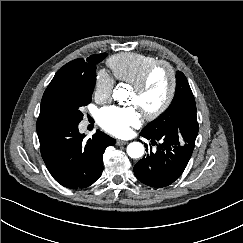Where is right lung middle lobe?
Listing matches in <instances>:
<instances>
[{
    "label": "right lung middle lobe",
    "instance_id": "right-lung-middle-lobe-1",
    "mask_svg": "<svg viewBox=\"0 0 243 243\" xmlns=\"http://www.w3.org/2000/svg\"><path fill=\"white\" fill-rule=\"evenodd\" d=\"M106 53L99 54L94 65L102 61ZM96 67L86 76L54 77L44 92L37 121L79 123L83 118L81 107L91 102L96 82Z\"/></svg>",
    "mask_w": 243,
    "mask_h": 243
}]
</instances>
